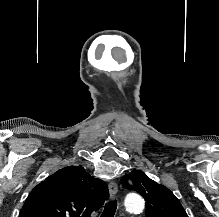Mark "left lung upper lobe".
I'll return each mask as SVG.
<instances>
[{
  "instance_id": "obj_1",
  "label": "left lung upper lobe",
  "mask_w": 219,
  "mask_h": 217,
  "mask_svg": "<svg viewBox=\"0 0 219 217\" xmlns=\"http://www.w3.org/2000/svg\"><path fill=\"white\" fill-rule=\"evenodd\" d=\"M131 179L130 190L140 193L146 201V217H188L186 211L171 190L150 179L143 171L133 170L121 182Z\"/></svg>"
}]
</instances>
